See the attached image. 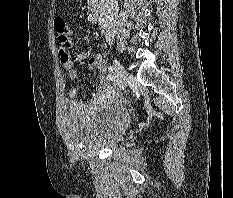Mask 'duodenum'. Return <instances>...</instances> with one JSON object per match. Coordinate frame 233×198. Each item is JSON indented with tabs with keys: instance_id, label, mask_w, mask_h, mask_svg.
<instances>
[{
	"instance_id": "410a0bca",
	"label": "duodenum",
	"mask_w": 233,
	"mask_h": 198,
	"mask_svg": "<svg viewBox=\"0 0 233 198\" xmlns=\"http://www.w3.org/2000/svg\"><path fill=\"white\" fill-rule=\"evenodd\" d=\"M87 17L91 23L101 22V10L97 2H93L90 4Z\"/></svg>"
}]
</instances>
